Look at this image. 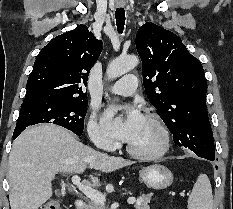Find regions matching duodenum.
<instances>
[{"label": "duodenum", "instance_id": "obj_1", "mask_svg": "<svg viewBox=\"0 0 233 209\" xmlns=\"http://www.w3.org/2000/svg\"><path fill=\"white\" fill-rule=\"evenodd\" d=\"M76 209H85V202L82 199H77L75 201Z\"/></svg>", "mask_w": 233, "mask_h": 209}]
</instances>
